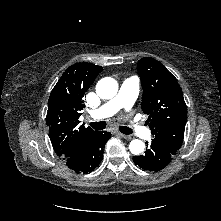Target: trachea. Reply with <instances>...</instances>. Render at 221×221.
Instances as JSON below:
<instances>
[{
    "instance_id": "3493384b",
    "label": "trachea",
    "mask_w": 221,
    "mask_h": 221,
    "mask_svg": "<svg viewBox=\"0 0 221 221\" xmlns=\"http://www.w3.org/2000/svg\"><path fill=\"white\" fill-rule=\"evenodd\" d=\"M106 122L105 121H100V122H91L90 126L92 128H94L95 130H103L104 128H106ZM119 130L124 133V134H131L132 130L128 127L125 126H120Z\"/></svg>"
}]
</instances>
